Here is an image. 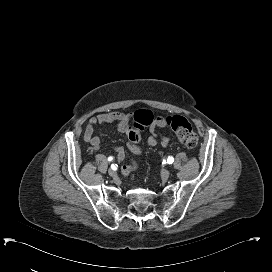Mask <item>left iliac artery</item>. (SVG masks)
<instances>
[{"label":"left iliac artery","mask_w":272,"mask_h":272,"mask_svg":"<svg viewBox=\"0 0 272 272\" xmlns=\"http://www.w3.org/2000/svg\"><path fill=\"white\" fill-rule=\"evenodd\" d=\"M173 162H174V158L169 156V157L167 158V163H168V164H172Z\"/></svg>","instance_id":"left-iliac-artery-1"}]
</instances>
